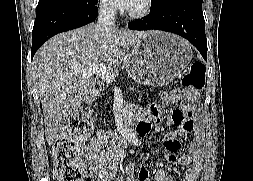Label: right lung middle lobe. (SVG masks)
<instances>
[{
    "instance_id": "1",
    "label": "right lung middle lobe",
    "mask_w": 253,
    "mask_h": 181,
    "mask_svg": "<svg viewBox=\"0 0 253 181\" xmlns=\"http://www.w3.org/2000/svg\"><path fill=\"white\" fill-rule=\"evenodd\" d=\"M54 1H58V0H39L37 7L44 6V5L54 2Z\"/></svg>"
}]
</instances>
